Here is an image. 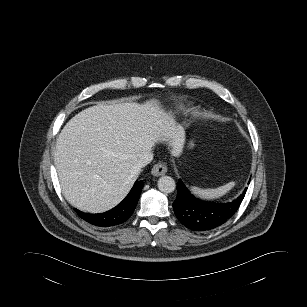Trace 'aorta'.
Segmentation results:
<instances>
[{
  "instance_id": "obj_1",
  "label": "aorta",
  "mask_w": 307,
  "mask_h": 307,
  "mask_svg": "<svg viewBox=\"0 0 307 307\" xmlns=\"http://www.w3.org/2000/svg\"><path fill=\"white\" fill-rule=\"evenodd\" d=\"M158 188L163 193H171L175 190L176 184L172 177L162 176L158 180Z\"/></svg>"
}]
</instances>
